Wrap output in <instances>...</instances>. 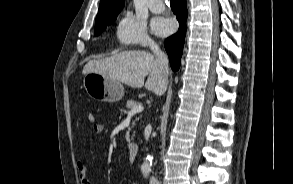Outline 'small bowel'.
<instances>
[{"label":"small bowel","instance_id":"c3829d8e","mask_svg":"<svg viewBox=\"0 0 293 184\" xmlns=\"http://www.w3.org/2000/svg\"><path fill=\"white\" fill-rule=\"evenodd\" d=\"M92 129L95 134L99 135L104 132L105 126L102 123H94L92 126ZM77 169L79 172V178H80L81 184H94L89 177V173L91 170L85 162L78 161ZM133 184H136V183H133Z\"/></svg>","mask_w":293,"mask_h":184}]
</instances>
